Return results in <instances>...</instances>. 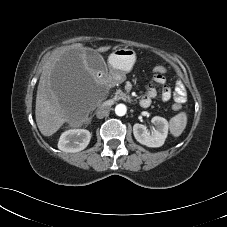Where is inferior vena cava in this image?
<instances>
[{
  "instance_id": "1",
  "label": "inferior vena cava",
  "mask_w": 227,
  "mask_h": 227,
  "mask_svg": "<svg viewBox=\"0 0 227 227\" xmlns=\"http://www.w3.org/2000/svg\"><path fill=\"white\" fill-rule=\"evenodd\" d=\"M110 107L106 105H101L97 111H96V116L99 119L104 118L105 116L109 115Z\"/></svg>"
}]
</instances>
